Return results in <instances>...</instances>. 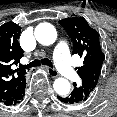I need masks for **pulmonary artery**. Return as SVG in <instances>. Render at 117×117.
Returning <instances> with one entry per match:
<instances>
[{
	"instance_id": "pulmonary-artery-1",
	"label": "pulmonary artery",
	"mask_w": 117,
	"mask_h": 117,
	"mask_svg": "<svg viewBox=\"0 0 117 117\" xmlns=\"http://www.w3.org/2000/svg\"><path fill=\"white\" fill-rule=\"evenodd\" d=\"M54 59L57 68L68 79L77 77V72L71 64L68 44L65 41H58L55 47Z\"/></svg>"
}]
</instances>
